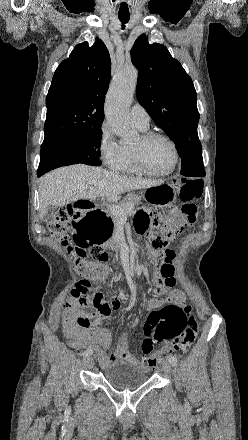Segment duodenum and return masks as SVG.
I'll return each instance as SVG.
<instances>
[{
  "instance_id": "duodenum-1",
  "label": "duodenum",
  "mask_w": 248,
  "mask_h": 440,
  "mask_svg": "<svg viewBox=\"0 0 248 440\" xmlns=\"http://www.w3.org/2000/svg\"><path fill=\"white\" fill-rule=\"evenodd\" d=\"M75 206L83 210V209H92L94 207V204L89 200H80L75 203ZM123 255L125 254L123 253Z\"/></svg>"
}]
</instances>
